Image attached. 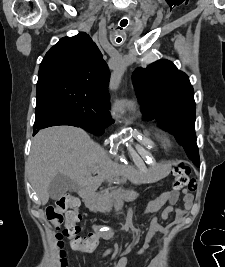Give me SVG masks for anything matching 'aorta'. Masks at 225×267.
<instances>
[{
  "mask_svg": "<svg viewBox=\"0 0 225 267\" xmlns=\"http://www.w3.org/2000/svg\"><path fill=\"white\" fill-rule=\"evenodd\" d=\"M125 68H126V66L123 63H119L115 67V69H114V71H113V73L111 75V83H110L111 84V88H113V89L117 88V86H118V84H119V82L121 80L122 74L125 71Z\"/></svg>",
  "mask_w": 225,
  "mask_h": 267,
  "instance_id": "1",
  "label": "aorta"
}]
</instances>
